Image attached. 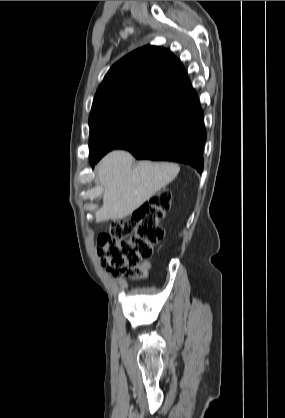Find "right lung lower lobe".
<instances>
[{"mask_svg":"<svg viewBox=\"0 0 285 418\" xmlns=\"http://www.w3.org/2000/svg\"><path fill=\"white\" fill-rule=\"evenodd\" d=\"M205 140L204 113L196 96L171 109L161 121L120 149L137 159L184 163L202 172ZM99 160H90L92 167Z\"/></svg>","mask_w":285,"mask_h":418,"instance_id":"98d812e1","label":"right lung lower lobe"}]
</instances>
